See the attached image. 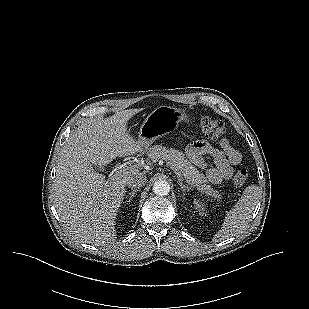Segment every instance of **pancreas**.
I'll return each instance as SVG.
<instances>
[{
	"mask_svg": "<svg viewBox=\"0 0 309 309\" xmlns=\"http://www.w3.org/2000/svg\"><path fill=\"white\" fill-rule=\"evenodd\" d=\"M151 160L163 159L170 162L178 171L182 173L186 181L198 191L207 196H211L218 201L221 199L219 191L214 190L208 184L207 179L201 174L185 157V155L173 148L167 149L162 145H154L148 151Z\"/></svg>",
	"mask_w": 309,
	"mask_h": 309,
	"instance_id": "obj_1",
	"label": "pancreas"
}]
</instances>
